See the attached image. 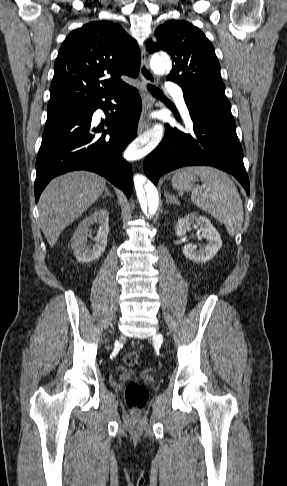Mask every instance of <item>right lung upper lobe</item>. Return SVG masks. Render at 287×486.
<instances>
[{
	"instance_id": "right-lung-upper-lobe-1",
	"label": "right lung upper lobe",
	"mask_w": 287,
	"mask_h": 486,
	"mask_svg": "<svg viewBox=\"0 0 287 486\" xmlns=\"http://www.w3.org/2000/svg\"><path fill=\"white\" fill-rule=\"evenodd\" d=\"M140 51L136 41L111 21H95L72 31L54 64L48 110L81 107L127 86L121 75L136 77ZM110 75L109 79H104Z\"/></svg>"
}]
</instances>
